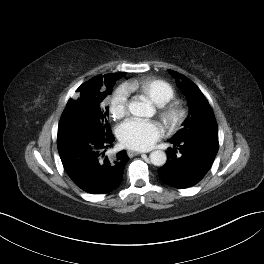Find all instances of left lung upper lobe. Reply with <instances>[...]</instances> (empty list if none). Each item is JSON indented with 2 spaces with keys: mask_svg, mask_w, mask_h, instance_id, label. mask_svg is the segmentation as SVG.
I'll return each mask as SVG.
<instances>
[{
  "mask_svg": "<svg viewBox=\"0 0 264 264\" xmlns=\"http://www.w3.org/2000/svg\"><path fill=\"white\" fill-rule=\"evenodd\" d=\"M189 102V113L182 128L170 139L181 141L191 137L218 139V126L214 113L200 89L187 77L169 70Z\"/></svg>",
  "mask_w": 264,
  "mask_h": 264,
  "instance_id": "left-lung-upper-lobe-1",
  "label": "left lung upper lobe"
}]
</instances>
